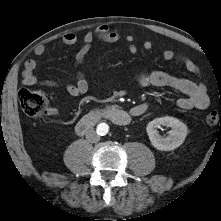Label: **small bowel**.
Instances as JSON below:
<instances>
[{
    "mask_svg": "<svg viewBox=\"0 0 221 221\" xmlns=\"http://www.w3.org/2000/svg\"><path fill=\"white\" fill-rule=\"evenodd\" d=\"M121 38L122 36L120 33L111 30L106 25H101L95 30L87 32L82 37L81 46L75 55L76 66L79 67L85 63L86 56L90 52L95 41L116 43L120 41ZM126 40L128 42V53L130 55H136L138 53V46L134 42L133 37L128 36ZM61 42L65 45H74L78 42V37L72 32H67L61 37ZM142 47L144 50L150 51L154 49V44L153 42L147 40L143 42ZM45 51V46L39 45L35 48V55L42 56L44 55ZM163 57L169 61L178 60L188 72L197 76L200 74V69L194 61L186 56L177 54L171 49H165L163 51ZM36 68L37 61L35 59L32 58L25 62L22 72V83L24 85H39L49 88H57L59 86L58 83L53 80L39 82L35 75ZM136 81L141 87H168L182 94L183 96L177 100V105L183 110H204L210 104V98L206 87L202 83L194 82L187 78L172 76L162 71H151L139 74ZM65 89L72 96L84 95L89 89V82L86 75L82 71H78L76 82L66 83ZM135 107L132 108V112H135Z\"/></svg>",
    "mask_w": 221,
    "mask_h": 221,
    "instance_id": "small-bowel-1",
    "label": "small bowel"
}]
</instances>
